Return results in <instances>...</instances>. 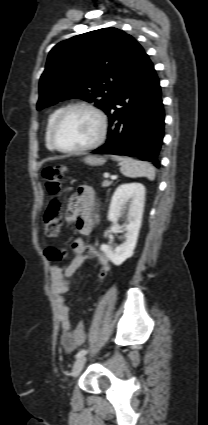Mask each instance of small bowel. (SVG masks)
Here are the masks:
<instances>
[{"mask_svg":"<svg viewBox=\"0 0 208 425\" xmlns=\"http://www.w3.org/2000/svg\"><path fill=\"white\" fill-rule=\"evenodd\" d=\"M95 195L91 187L81 185L70 197L66 211V221L75 223L81 235L89 236L93 233L97 219L94 213ZM71 251L75 257L65 268L60 263H53L50 267V287L55 297L58 318L61 326V343L65 351L70 352L81 345L85 340V330L82 325L72 327L69 318V307L64 295L69 291L70 279L79 267L88 259L96 260L101 267L108 266V258L93 245L87 244L81 237L71 244ZM68 253V251H65Z\"/></svg>","mask_w":208,"mask_h":425,"instance_id":"small-bowel-1","label":"small bowel"}]
</instances>
